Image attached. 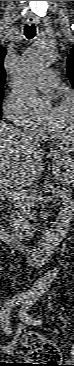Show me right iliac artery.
Returning a JSON list of instances; mask_svg holds the SVG:
<instances>
[{
	"label": "right iliac artery",
	"mask_w": 74,
	"mask_h": 366,
	"mask_svg": "<svg viewBox=\"0 0 74 366\" xmlns=\"http://www.w3.org/2000/svg\"><path fill=\"white\" fill-rule=\"evenodd\" d=\"M28 300L29 299L26 295L19 294V295L13 296L10 300H8L5 303L4 307L2 308L0 318H1L2 328L6 333L11 332V327H10V322H9L10 312L12 311V309L14 307H16L17 305H19L21 303H26Z\"/></svg>",
	"instance_id": "right-iliac-artery-1"
}]
</instances>
